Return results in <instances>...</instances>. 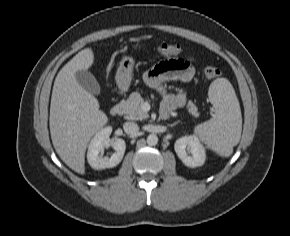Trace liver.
<instances>
[{
  "mask_svg": "<svg viewBox=\"0 0 290 236\" xmlns=\"http://www.w3.org/2000/svg\"><path fill=\"white\" fill-rule=\"evenodd\" d=\"M93 62L92 49L85 48L65 64L55 78L50 104L53 146L63 162L81 175L88 142L108 123L98 100L76 80V72L86 71Z\"/></svg>",
  "mask_w": 290,
  "mask_h": 236,
  "instance_id": "6515ba94",
  "label": "liver"
}]
</instances>
